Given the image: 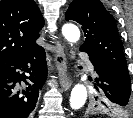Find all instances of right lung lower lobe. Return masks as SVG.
Listing matches in <instances>:
<instances>
[{
	"label": "right lung lower lobe",
	"instance_id": "obj_1",
	"mask_svg": "<svg viewBox=\"0 0 133 118\" xmlns=\"http://www.w3.org/2000/svg\"><path fill=\"white\" fill-rule=\"evenodd\" d=\"M46 77V54L41 46L1 65L0 118H28L35 108Z\"/></svg>",
	"mask_w": 133,
	"mask_h": 118
}]
</instances>
